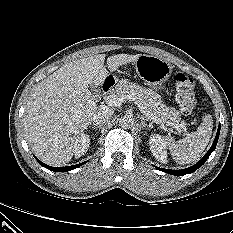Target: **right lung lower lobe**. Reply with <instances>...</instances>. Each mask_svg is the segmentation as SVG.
I'll use <instances>...</instances> for the list:
<instances>
[{
	"instance_id": "obj_1",
	"label": "right lung lower lobe",
	"mask_w": 233,
	"mask_h": 233,
	"mask_svg": "<svg viewBox=\"0 0 233 233\" xmlns=\"http://www.w3.org/2000/svg\"><path fill=\"white\" fill-rule=\"evenodd\" d=\"M36 160L45 168L51 170V171H55V172H62V171H70L72 169L78 168L79 166L85 164L87 161L82 162L80 164L77 165H72V166H67V167H52V166H48L46 164H44L43 162L39 161L37 158Z\"/></svg>"
}]
</instances>
